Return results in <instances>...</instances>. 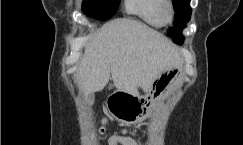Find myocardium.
I'll return each mask as SVG.
<instances>
[{
    "instance_id": "myocardium-1",
    "label": "myocardium",
    "mask_w": 243,
    "mask_h": 145,
    "mask_svg": "<svg viewBox=\"0 0 243 145\" xmlns=\"http://www.w3.org/2000/svg\"><path fill=\"white\" fill-rule=\"evenodd\" d=\"M159 14L164 23H172L175 13L171 0H161Z\"/></svg>"
}]
</instances>
